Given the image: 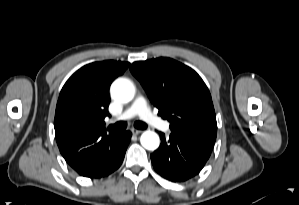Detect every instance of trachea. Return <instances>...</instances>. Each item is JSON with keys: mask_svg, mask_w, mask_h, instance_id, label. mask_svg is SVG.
I'll return each instance as SVG.
<instances>
[{"mask_svg": "<svg viewBox=\"0 0 299 205\" xmlns=\"http://www.w3.org/2000/svg\"><path fill=\"white\" fill-rule=\"evenodd\" d=\"M126 127H127V123L124 121H120V122L115 123L114 125H109L108 129L115 131V132H122L126 129ZM134 127L137 129L143 130V129L147 128V124H145L142 121H136L134 123Z\"/></svg>", "mask_w": 299, "mask_h": 205, "instance_id": "trachea-1", "label": "trachea"}]
</instances>
